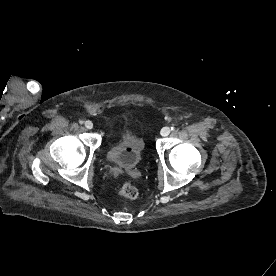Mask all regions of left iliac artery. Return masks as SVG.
<instances>
[{
	"label": "left iliac artery",
	"mask_w": 276,
	"mask_h": 276,
	"mask_svg": "<svg viewBox=\"0 0 276 276\" xmlns=\"http://www.w3.org/2000/svg\"><path fill=\"white\" fill-rule=\"evenodd\" d=\"M171 130H175V127H174V126H172V127H171Z\"/></svg>",
	"instance_id": "left-iliac-artery-1"
}]
</instances>
